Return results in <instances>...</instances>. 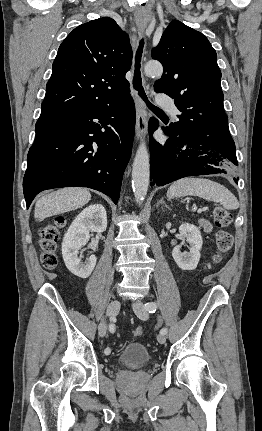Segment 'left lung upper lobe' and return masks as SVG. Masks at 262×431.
I'll return each mask as SVG.
<instances>
[{"label":"left lung upper lobe","mask_w":262,"mask_h":431,"mask_svg":"<svg viewBox=\"0 0 262 431\" xmlns=\"http://www.w3.org/2000/svg\"><path fill=\"white\" fill-rule=\"evenodd\" d=\"M152 58L164 67L154 90L174 98L182 112L169 130L188 139L220 144L230 133L223 108L221 71L208 39L174 20L153 49Z\"/></svg>","instance_id":"obj_1"}]
</instances>
